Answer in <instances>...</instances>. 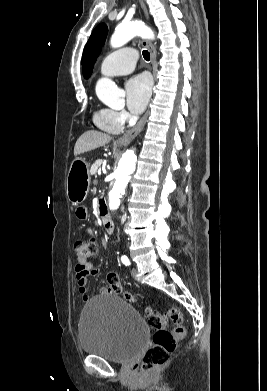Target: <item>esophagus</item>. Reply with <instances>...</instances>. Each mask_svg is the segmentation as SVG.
<instances>
[{
  "instance_id": "esophagus-1",
  "label": "esophagus",
  "mask_w": 267,
  "mask_h": 391,
  "mask_svg": "<svg viewBox=\"0 0 267 391\" xmlns=\"http://www.w3.org/2000/svg\"><path fill=\"white\" fill-rule=\"evenodd\" d=\"M140 6L145 14V17L148 19V12L146 9V6L143 2V0H140ZM143 46L146 47L150 52V58L153 65H155L156 62V51L152 43L148 40H144L142 42ZM149 111L145 113V115L141 118V120L137 123L135 127H133L131 130H129L126 134H124L121 138H119L116 143L118 145H127L131 140H133L137 134L142 130L144 127L145 121L147 119Z\"/></svg>"
}]
</instances>
